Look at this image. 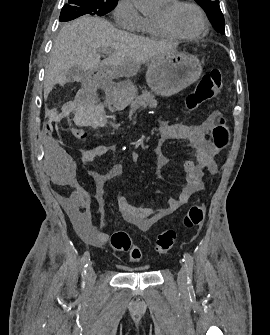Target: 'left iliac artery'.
<instances>
[{
  "mask_svg": "<svg viewBox=\"0 0 270 335\" xmlns=\"http://www.w3.org/2000/svg\"><path fill=\"white\" fill-rule=\"evenodd\" d=\"M184 262L187 267V284L192 287V273H193V257L189 253L184 254Z\"/></svg>",
  "mask_w": 270,
  "mask_h": 335,
  "instance_id": "44dca946",
  "label": "left iliac artery"
}]
</instances>
